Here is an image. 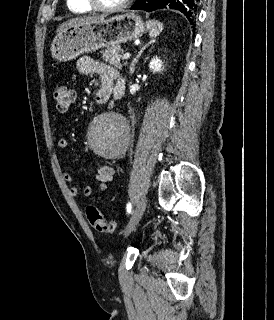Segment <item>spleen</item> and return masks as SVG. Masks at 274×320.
Here are the masks:
<instances>
[{"label": "spleen", "mask_w": 274, "mask_h": 320, "mask_svg": "<svg viewBox=\"0 0 274 320\" xmlns=\"http://www.w3.org/2000/svg\"><path fill=\"white\" fill-rule=\"evenodd\" d=\"M147 28L151 38H156V36H159L160 32L163 30V26L161 22H158V20H148Z\"/></svg>", "instance_id": "3e777b00"}]
</instances>
